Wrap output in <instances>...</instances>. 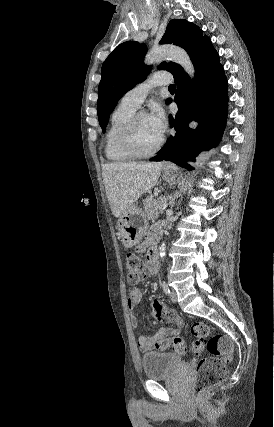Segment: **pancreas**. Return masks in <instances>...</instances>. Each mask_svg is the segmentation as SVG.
<instances>
[{
  "mask_svg": "<svg viewBox=\"0 0 274 427\" xmlns=\"http://www.w3.org/2000/svg\"><path fill=\"white\" fill-rule=\"evenodd\" d=\"M144 202V212L147 219H156V217H159V214H161L159 210L164 202H161V200H154V196H148Z\"/></svg>",
  "mask_w": 274,
  "mask_h": 427,
  "instance_id": "1",
  "label": "pancreas"
}]
</instances>
